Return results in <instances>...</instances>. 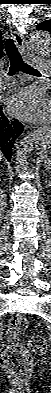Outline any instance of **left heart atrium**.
<instances>
[{
  "mask_svg": "<svg viewBox=\"0 0 51 393\" xmlns=\"http://www.w3.org/2000/svg\"><path fill=\"white\" fill-rule=\"evenodd\" d=\"M10 111L30 121H43L49 116V103L43 94L29 87L12 96L9 102Z\"/></svg>",
  "mask_w": 51,
  "mask_h": 393,
  "instance_id": "left-heart-atrium-1",
  "label": "left heart atrium"
}]
</instances>
